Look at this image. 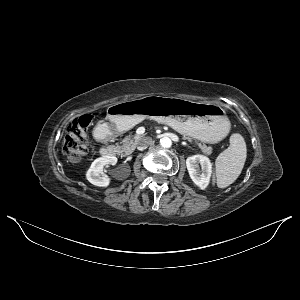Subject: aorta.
I'll return each mask as SVG.
<instances>
[{"mask_svg":"<svg viewBox=\"0 0 300 300\" xmlns=\"http://www.w3.org/2000/svg\"><path fill=\"white\" fill-rule=\"evenodd\" d=\"M160 145L163 147V148H170L171 145H172V141L170 138L168 137H163L160 139Z\"/></svg>","mask_w":300,"mask_h":300,"instance_id":"762f6f07","label":"aorta"}]
</instances>
